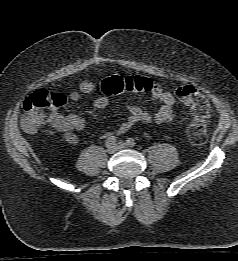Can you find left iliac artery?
Wrapping results in <instances>:
<instances>
[{"instance_id": "44dca946", "label": "left iliac artery", "mask_w": 238, "mask_h": 261, "mask_svg": "<svg viewBox=\"0 0 238 261\" xmlns=\"http://www.w3.org/2000/svg\"><path fill=\"white\" fill-rule=\"evenodd\" d=\"M126 144L129 146V147H134L136 145L135 141L133 138H128L126 140Z\"/></svg>"}]
</instances>
